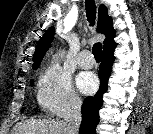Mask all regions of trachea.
<instances>
[{"instance_id":"1","label":"trachea","mask_w":153,"mask_h":134,"mask_svg":"<svg viewBox=\"0 0 153 134\" xmlns=\"http://www.w3.org/2000/svg\"><path fill=\"white\" fill-rule=\"evenodd\" d=\"M85 7H86L87 20L90 22V25L93 26L96 17V5L94 0H85ZM92 53L96 60H100L102 53L101 43H95L93 45Z\"/></svg>"}]
</instances>
